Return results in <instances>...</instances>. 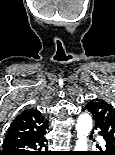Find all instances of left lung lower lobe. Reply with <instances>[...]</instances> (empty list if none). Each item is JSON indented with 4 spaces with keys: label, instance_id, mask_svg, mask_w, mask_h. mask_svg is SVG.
Listing matches in <instances>:
<instances>
[{
    "label": "left lung lower lobe",
    "instance_id": "left-lung-lower-lobe-1",
    "mask_svg": "<svg viewBox=\"0 0 115 155\" xmlns=\"http://www.w3.org/2000/svg\"><path fill=\"white\" fill-rule=\"evenodd\" d=\"M84 110H88V109H87V108H84V109H83V111H84ZM88 111H89V110H88ZM95 127H96V128H98V127L96 126V122H95ZM99 134H100V135H102V136H103V138H104V139H105V141H106L105 136H104L101 132H99ZM101 155H102V154H101Z\"/></svg>",
    "mask_w": 115,
    "mask_h": 155
}]
</instances>
